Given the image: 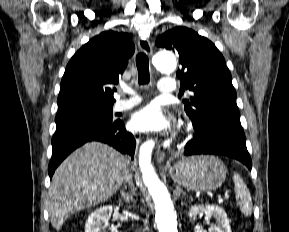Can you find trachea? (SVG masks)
<instances>
[{
    "mask_svg": "<svg viewBox=\"0 0 289 232\" xmlns=\"http://www.w3.org/2000/svg\"><path fill=\"white\" fill-rule=\"evenodd\" d=\"M136 66L139 75L138 77L139 85L148 84L150 82L149 59L145 53L141 52L137 54Z\"/></svg>",
    "mask_w": 289,
    "mask_h": 232,
    "instance_id": "3493384b",
    "label": "trachea"
}]
</instances>
